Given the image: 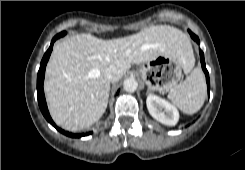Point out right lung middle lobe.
<instances>
[{
    "label": "right lung middle lobe",
    "instance_id": "1",
    "mask_svg": "<svg viewBox=\"0 0 245 170\" xmlns=\"http://www.w3.org/2000/svg\"><path fill=\"white\" fill-rule=\"evenodd\" d=\"M65 34H66V32H61V33L59 34V37L64 36Z\"/></svg>",
    "mask_w": 245,
    "mask_h": 170
}]
</instances>
